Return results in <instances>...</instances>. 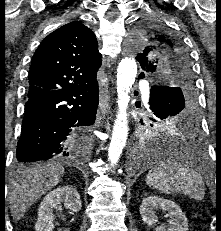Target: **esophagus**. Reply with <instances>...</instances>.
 <instances>
[{
	"label": "esophagus",
	"instance_id": "obj_1",
	"mask_svg": "<svg viewBox=\"0 0 221 231\" xmlns=\"http://www.w3.org/2000/svg\"><path fill=\"white\" fill-rule=\"evenodd\" d=\"M100 109H101V116L105 118L106 115L111 113V102L110 96L107 94H103L100 100Z\"/></svg>",
	"mask_w": 221,
	"mask_h": 231
}]
</instances>
